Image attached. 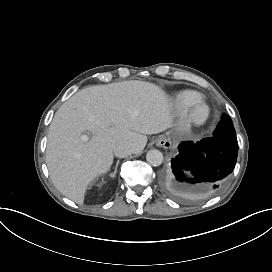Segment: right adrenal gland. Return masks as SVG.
Returning a JSON list of instances; mask_svg holds the SVG:
<instances>
[{"mask_svg": "<svg viewBox=\"0 0 272 272\" xmlns=\"http://www.w3.org/2000/svg\"><path fill=\"white\" fill-rule=\"evenodd\" d=\"M119 164V161L117 162V165ZM116 172H117V168H116V170H115V172L111 175V177L112 178H114L115 177V175H116Z\"/></svg>", "mask_w": 272, "mask_h": 272, "instance_id": "obj_1", "label": "right adrenal gland"}]
</instances>
